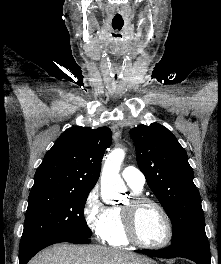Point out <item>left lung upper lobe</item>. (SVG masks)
<instances>
[{
    "instance_id": "left-lung-upper-lobe-1",
    "label": "left lung upper lobe",
    "mask_w": 221,
    "mask_h": 264,
    "mask_svg": "<svg viewBox=\"0 0 221 264\" xmlns=\"http://www.w3.org/2000/svg\"><path fill=\"white\" fill-rule=\"evenodd\" d=\"M139 169L173 227L172 243L206 237L201 197L186 151L164 126L152 123L130 130Z\"/></svg>"
}]
</instances>
